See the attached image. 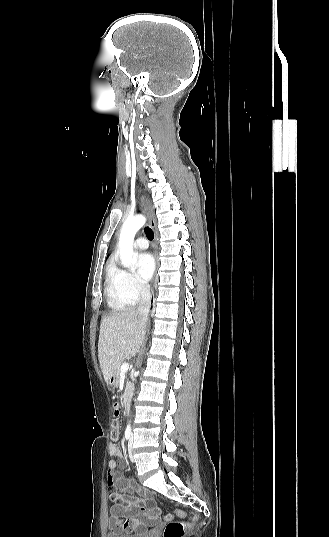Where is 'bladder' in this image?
Listing matches in <instances>:
<instances>
[{
	"instance_id": "obj_1",
	"label": "bladder",
	"mask_w": 329,
	"mask_h": 537,
	"mask_svg": "<svg viewBox=\"0 0 329 537\" xmlns=\"http://www.w3.org/2000/svg\"><path fill=\"white\" fill-rule=\"evenodd\" d=\"M106 537H153V534L151 532H146V533H141V534L130 535V534H126L120 531H110L107 533Z\"/></svg>"
}]
</instances>
